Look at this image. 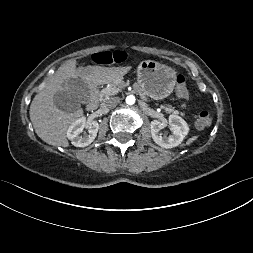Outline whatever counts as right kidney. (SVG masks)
<instances>
[{"label":"right kidney","instance_id":"1","mask_svg":"<svg viewBox=\"0 0 253 253\" xmlns=\"http://www.w3.org/2000/svg\"><path fill=\"white\" fill-rule=\"evenodd\" d=\"M84 128L88 129V133L82 135ZM98 129V122L87 121L85 117H81L69 126L67 137L71 140L72 145L76 147H86L94 141L97 136Z\"/></svg>","mask_w":253,"mask_h":253}]
</instances>
